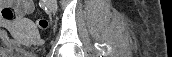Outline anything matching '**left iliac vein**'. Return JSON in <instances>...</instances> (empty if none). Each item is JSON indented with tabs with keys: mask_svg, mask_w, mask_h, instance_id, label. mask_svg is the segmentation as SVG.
Returning a JSON list of instances; mask_svg holds the SVG:
<instances>
[{
	"mask_svg": "<svg viewBox=\"0 0 172 57\" xmlns=\"http://www.w3.org/2000/svg\"><path fill=\"white\" fill-rule=\"evenodd\" d=\"M47 7L51 13H55L57 11V2L56 0H47Z\"/></svg>",
	"mask_w": 172,
	"mask_h": 57,
	"instance_id": "1",
	"label": "left iliac vein"
}]
</instances>
